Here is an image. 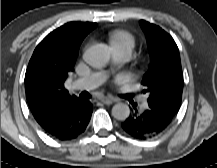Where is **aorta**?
<instances>
[{"label":"aorta","mask_w":217,"mask_h":168,"mask_svg":"<svg viewBox=\"0 0 217 168\" xmlns=\"http://www.w3.org/2000/svg\"><path fill=\"white\" fill-rule=\"evenodd\" d=\"M83 58L90 66L100 68L108 62L109 55L103 44H95L85 50ZM129 114L130 109L127 104L118 103L112 108V116L117 120H126Z\"/></svg>","instance_id":"762f6f07"}]
</instances>
